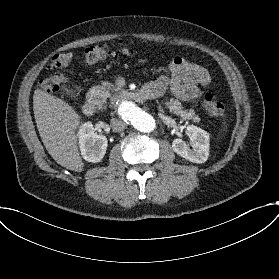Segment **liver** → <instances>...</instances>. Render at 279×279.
<instances>
[{"instance_id":"liver-1","label":"liver","mask_w":279,"mask_h":279,"mask_svg":"<svg viewBox=\"0 0 279 279\" xmlns=\"http://www.w3.org/2000/svg\"><path fill=\"white\" fill-rule=\"evenodd\" d=\"M34 116L45 149L60 166L82 172L78 128L81 115L64 100L37 88L34 92Z\"/></svg>"}]
</instances>
